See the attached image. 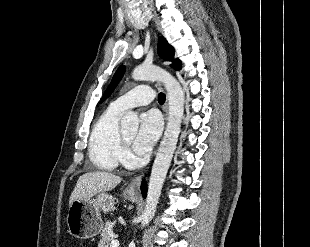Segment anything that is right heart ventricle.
Returning <instances> with one entry per match:
<instances>
[{
  "label": "right heart ventricle",
  "mask_w": 310,
  "mask_h": 247,
  "mask_svg": "<svg viewBox=\"0 0 310 247\" xmlns=\"http://www.w3.org/2000/svg\"><path fill=\"white\" fill-rule=\"evenodd\" d=\"M122 111L110 105L95 122L89 138V158L101 170H114L124 159L119 117Z\"/></svg>",
  "instance_id": "right-heart-ventricle-1"
}]
</instances>
